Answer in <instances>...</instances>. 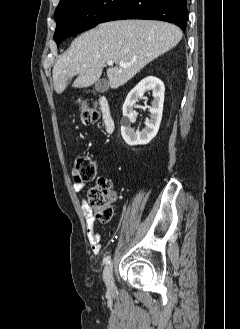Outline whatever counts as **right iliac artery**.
Here are the masks:
<instances>
[{
    "label": "right iliac artery",
    "instance_id": "1",
    "mask_svg": "<svg viewBox=\"0 0 240 329\" xmlns=\"http://www.w3.org/2000/svg\"><path fill=\"white\" fill-rule=\"evenodd\" d=\"M110 260H111V257L110 256H107V257L104 258L103 262L105 264H109L110 263Z\"/></svg>",
    "mask_w": 240,
    "mask_h": 329
}]
</instances>
